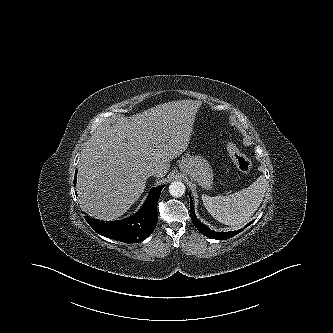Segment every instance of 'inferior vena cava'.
<instances>
[{"mask_svg": "<svg viewBox=\"0 0 333 333\" xmlns=\"http://www.w3.org/2000/svg\"><path fill=\"white\" fill-rule=\"evenodd\" d=\"M160 171L157 168H152L149 170L148 175L149 176H158Z\"/></svg>", "mask_w": 333, "mask_h": 333, "instance_id": "obj_1", "label": "inferior vena cava"}]
</instances>
